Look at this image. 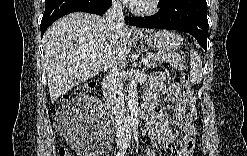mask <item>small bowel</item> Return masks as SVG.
Wrapping results in <instances>:
<instances>
[{"instance_id": "1", "label": "small bowel", "mask_w": 247, "mask_h": 156, "mask_svg": "<svg viewBox=\"0 0 247 156\" xmlns=\"http://www.w3.org/2000/svg\"><path fill=\"white\" fill-rule=\"evenodd\" d=\"M168 96V102L175 104V113L169 116L166 110L156 111V103L161 95ZM186 94L178 84L166 86L163 73L154 76L146 91V106L151 109L152 117L147 120L148 134L154 144L168 149L171 155L189 156L193 152L196 128V113H186ZM181 130L179 139L176 131Z\"/></svg>"}]
</instances>
